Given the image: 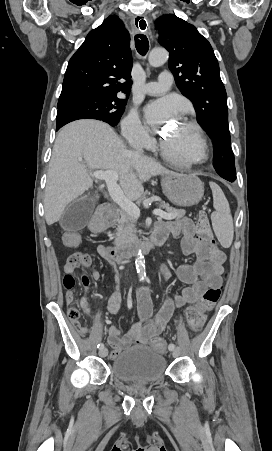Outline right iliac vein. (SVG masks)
I'll return each instance as SVG.
<instances>
[{
  "instance_id": "63e3f726",
  "label": "right iliac vein",
  "mask_w": 272,
  "mask_h": 451,
  "mask_svg": "<svg viewBox=\"0 0 272 451\" xmlns=\"http://www.w3.org/2000/svg\"><path fill=\"white\" fill-rule=\"evenodd\" d=\"M107 354H108L107 348H102V349L99 350V355H100L101 357H106Z\"/></svg>"
}]
</instances>
